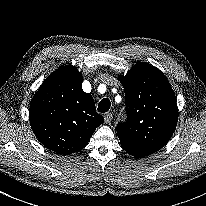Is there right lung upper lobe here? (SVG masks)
I'll list each match as a JSON object with an SVG mask.
<instances>
[{"instance_id":"1","label":"right lung upper lobe","mask_w":206,"mask_h":206,"mask_svg":"<svg viewBox=\"0 0 206 206\" xmlns=\"http://www.w3.org/2000/svg\"><path fill=\"white\" fill-rule=\"evenodd\" d=\"M82 74L63 66L40 86L30 103L29 121L38 140L58 154H71L86 146L104 122L92 96L82 90Z\"/></svg>"}]
</instances>
